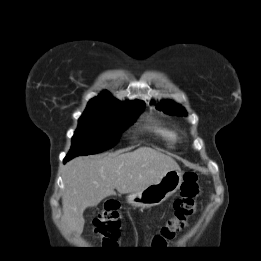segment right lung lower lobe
<instances>
[{
  "label": "right lung lower lobe",
  "instance_id": "98d812e1",
  "mask_svg": "<svg viewBox=\"0 0 261 261\" xmlns=\"http://www.w3.org/2000/svg\"><path fill=\"white\" fill-rule=\"evenodd\" d=\"M72 159V157L70 156H66L65 159H64V163H66L68 160Z\"/></svg>",
  "mask_w": 261,
  "mask_h": 261
}]
</instances>
